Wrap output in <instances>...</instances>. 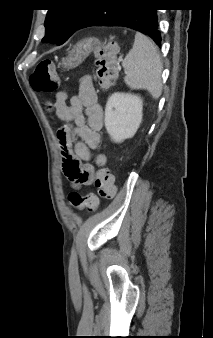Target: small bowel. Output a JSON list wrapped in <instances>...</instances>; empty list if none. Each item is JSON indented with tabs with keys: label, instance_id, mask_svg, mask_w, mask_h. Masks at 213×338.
Here are the masks:
<instances>
[{
	"label": "small bowel",
	"instance_id": "c3829d8e",
	"mask_svg": "<svg viewBox=\"0 0 213 338\" xmlns=\"http://www.w3.org/2000/svg\"><path fill=\"white\" fill-rule=\"evenodd\" d=\"M67 92L56 94L53 112L57 118L66 124H74L72 129L63 128L59 133V144L63 151V161L66 149L71 157L86 163V167L78 171L69 180L74 186L89 185L93 177L90 164L92 150L100 141L99 130L103 123V108L97 101L95 88L91 78H82L78 93L67 102ZM79 138V139H77ZM63 165V164H62Z\"/></svg>",
	"mask_w": 213,
	"mask_h": 338
}]
</instances>
